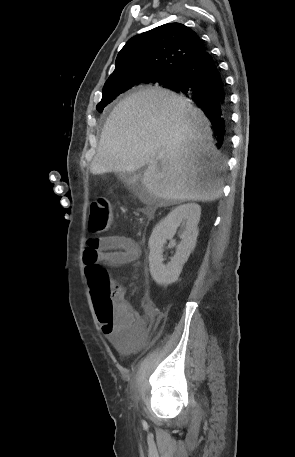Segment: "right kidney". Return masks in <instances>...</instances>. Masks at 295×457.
<instances>
[{
  "label": "right kidney",
  "mask_w": 295,
  "mask_h": 457,
  "mask_svg": "<svg viewBox=\"0 0 295 457\" xmlns=\"http://www.w3.org/2000/svg\"><path fill=\"white\" fill-rule=\"evenodd\" d=\"M201 208L198 204L188 203L177 206L154 228L149 239V267L154 281L159 285L175 282L195 248L198 236V223ZM181 226V242L176 246V253L171 261L163 264V246L172 240L177 228ZM176 243L172 242V246Z\"/></svg>",
  "instance_id": "ca27d5eb"
}]
</instances>
